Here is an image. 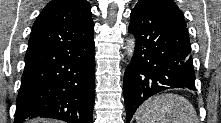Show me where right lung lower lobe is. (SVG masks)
Segmentation results:
<instances>
[{
    "label": "right lung lower lobe",
    "instance_id": "1",
    "mask_svg": "<svg viewBox=\"0 0 221 123\" xmlns=\"http://www.w3.org/2000/svg\"><path fill=\"white\" fill-rule=\"evenodd\" d=\"M94 56L93 32L69 44L27 50L15 122L39 116L92 123Z\"/></svg>",
    "mask_w": 221,
    "mask_h": 123
}]
</instances>
